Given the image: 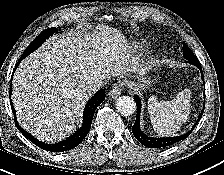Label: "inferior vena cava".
I'll list each match as a JSON object with an SVG mask.
<instances>
[{
	"instance_id": "inferior-vena-cava-1",
	"label": "inferior vena cava",
	"mask_w": 224,
	"mask_h": 175,
	"mask_svg": "<svg viewBox=\"0 0 224 175\" xmlns=\"http://www.w3.org/2000/svg\"><path fill=\"white\" fill-rule=\"evenodd\" d=\"M101 85H102V79H97L93 82L88 83L84 87V91L88 96H91L100 88Z\"/></svg>"
}]
</instances>
